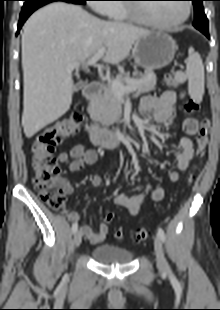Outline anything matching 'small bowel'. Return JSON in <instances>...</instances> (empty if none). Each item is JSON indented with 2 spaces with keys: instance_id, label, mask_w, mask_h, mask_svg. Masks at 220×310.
<instances>
[{
  "instance_id": "1",
  "label": "small bowel",
  "mask_w": 220,
  "mask_h": 310,
  "mask_svg": "<svg viewBox=\"0 0 220 310\" xmlns=\"http://www.w3.org/2000/svg\"><path fill=\"white\" fill-rule=\"evenodd\" d=\"M176 100V92L166 90L159 97H143L139 104V110L143 114H151L154 122L157 124H165L173 114ZM181 126L187 136L180 140L181 150L175 158L177 171H171L168 175L171 183H177L179 181V171H185L194 156V143L191 136L198 132V120L193 117L186 118L183 120ZM58 160L66 164L70 172H77L85 165L95 164L98 160V153L96 150L88 148L84 144H76L68 150L61 152L58 155ZM90 181L95 187H99L102 184V179L98 175L90 177ZM72 192V187L67 186V193L71 194ZM164 195V189L161 187L153 188L150 191V196L154 201H161ZM145 197V193H139L134 196L115 194L112 197V201L116 206L127 209L130 215L136 216L141 210V205ZM64 213L66 218L71 222H77L80 218L79 213L74 211L65 210ZM80 231L91 244H100L106 239L109 228L107 224L101 223L97 231H94L89 225H83Z\"/></svg>"
}]
</instances>
